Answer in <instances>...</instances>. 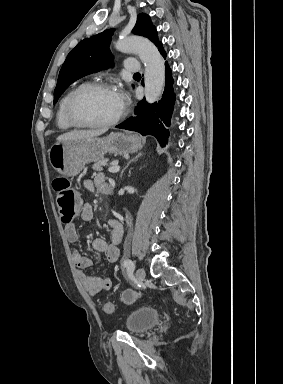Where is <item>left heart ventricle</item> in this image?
Wrapping results in <instances>:
<instances>
[{
  "label": "left heart ventricle",
  "instance_id": "1",
  "mask_svg": "<svg viewBox=\"0 0 283 384\" xmlns=\"http://www.w3.org/2000/svg\"><path fill=\"white\" fill-rule=\"evenodd\" d=\"M119 110L113 91L94 90L78 98L74 106V117L82 124L103 123L113 119Z\"/></svg>",
  "mask_w": 283,
  "mask_h": 384
}]
</instances>
